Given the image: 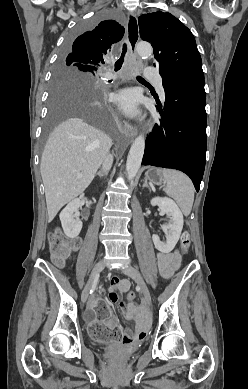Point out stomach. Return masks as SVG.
Listing matches in <instances>:
<instances>
[{
	"instance_id": "stomach-1",
	"label": "stomach",
	"mask_w": 248,
	"mask_h": 389,
	"mask_svg": "<svg viewBox=\"0 0 248 389\" xmlns=\"http://www.w3.org/2000/svg\"><path fill=\"white\" fill-rule=\"evenodd\" d=\"M146 179L154 185H162L164 183L163 170L155 167L149 168L145 173Z\"/></svg>"
}]
</instances>
